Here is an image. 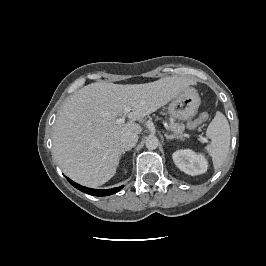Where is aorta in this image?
Returning <instances> with one entry per match:
<instances>
[{
    "label": "aorta",
    "instance_id": "1",
    "mask_svg": "<svg viewBox=\"0 0 266 266\" xmlns=\"http://www.w3.org/2000/svg\"><path fill=\"white\" fill-rule=\"evenodd\" d=\"M145 144H146V148H147L148 150H154V149H156V148L158 147V145H159V140H158L157 137H155V136H150V137H148V138L146 139Z\"/></svg>",
    "mask_w": 266,
    "mask_h": 266
}]
</instances>
